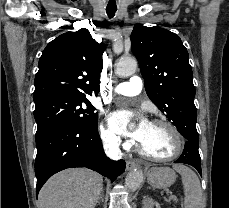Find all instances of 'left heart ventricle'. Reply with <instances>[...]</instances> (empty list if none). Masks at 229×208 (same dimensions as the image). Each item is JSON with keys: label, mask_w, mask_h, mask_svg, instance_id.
<instances>
[{"label": "left heart ventricle", "mask_w": 229, "mask_h": 208, "mask_svg": "<svg viewBox=\"0 0 229 208\" xmlns=\"http://www.w3.org/2000/svg\"><path fill=\"white\" fill-rule=\"evenodd\" d=\"M171 130L167 126L150 123L141 143L147 152H151V157H167L179 150L180 147L172 146Z\"/></svg>", "instance_id": "1"}]
</instances>
